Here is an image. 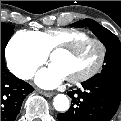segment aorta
Here are the masks:
<instances>
[{
    "mask_svg": "<svg viewBox=\"0 0 121 121\" xmlns=\"http://www.w3.org/2000/svg\"><path fill=\"white\" fill-rule=\"evenodd\" d=\"M53 106L57 111H67L69 109V99L64 94H58L53 99Z\"/></svg>",
    "mask_w": 121,
    "mask_h": 121,
    "instance_id": "aorta-1",
    "label": "aorta"
}]
</instances>
